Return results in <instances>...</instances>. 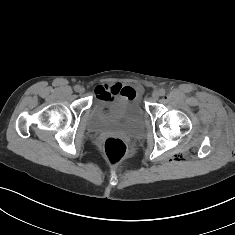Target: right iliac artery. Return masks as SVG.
Segmentation results:
<instances>
[{
    "label": "right iliac artery",
    "mask_w": 235,
    "mask_h": 235,
    "mask_svg": "<svg viewBox=\"0 0 235 235\" xmlns=\"http://www.w3.org/2000/svg\"><path fill=\"white\" fill-rule=\"evenodd\" d=\"M79 88H80V86H79V85H76V86L74 87V90H75L76 92H78Z\"/></svg>",
    "instance_id": "obj_1"
}]
</instances>
